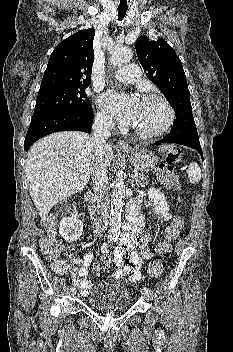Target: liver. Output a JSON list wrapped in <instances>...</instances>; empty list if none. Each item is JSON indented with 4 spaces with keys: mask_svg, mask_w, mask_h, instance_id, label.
<instances>
[{
    "mask_svg": "<svg viewBox=\"0 0 233 352\" xmlns=\"http://www.w3.org/2000/svg\"><path fill=\"white\" fill-rule=\"evenodd\" d=\"M94 157L92 137L78 131L53 133L31 147L25 173L30 196L42 220L59 201L84 189L91 176ZM112 159V147L106 144V166Z\"/></svg>",
    "mask_w": 233,
    "mask_h": 352,
    "instance_id": "6515ba94",
    "label": "liver"
}]
</instances>
